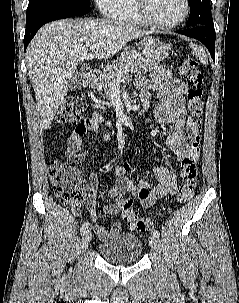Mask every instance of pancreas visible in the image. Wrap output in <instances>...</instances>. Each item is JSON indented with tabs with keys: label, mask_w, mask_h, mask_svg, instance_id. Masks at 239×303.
Returning a JSON list of instances; mask_svg holds the SVG:
<instances>
[{
	"label": "pancreas",
	"mask_w": 239,
	"mask_h": 303,
	"mask_svg": "<svg viewBox=\"0 0 239 303\" xmlns=\"http://www.w3.org/2000/svg\"><path fill=\"white\" fill-rule=\"evenodd\" d=\"M131 64L132 67H130L127 72L147 73L160 68L155 61L143 58L136 50L122 52L121 55L103 71L100 77L99 86L103 87L106 98L111 99L112 88L117 81L116 76L118 72H122L126 66H130ZM125 75L126 74H124L119 80H121ZM102 104H106L108 106L111 105L109 102H103Z\"/></svg>",
	"instance_id": "1"
}]
</instances>
